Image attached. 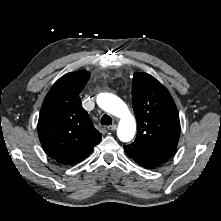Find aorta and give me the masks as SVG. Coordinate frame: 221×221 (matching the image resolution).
I'll return each instance as SVG.
<instances>
[{
  "instance_id": "1",
  "label": "aorta",
  "mask_w": 221,
  "mask_h": 221,
  "mask_svg": "<svg viewBox=\"0 0 221 221\" xmlns=\"http://www.w3.org/2000/svg\"><path fill=\"white\" fill-rule=\"evenodd\" d=\"M97 104L104 111L120 119L117 136L122 142H129L135 135L136 122L127 105L111 93H100Z\"/></svg>"
}]
</instances>
